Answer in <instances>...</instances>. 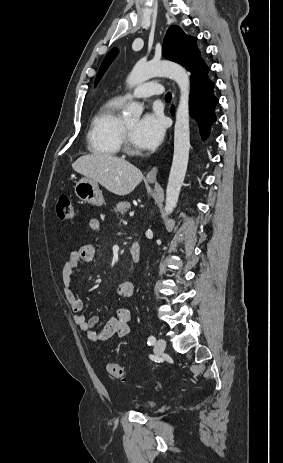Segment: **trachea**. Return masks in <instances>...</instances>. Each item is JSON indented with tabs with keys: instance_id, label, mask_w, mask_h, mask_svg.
<instances>
[{
	"instance_id": "3493384b",
	"label": "trachea",
	"mask_w": 283,
	"mask_h": 463,
	"mask_svg": "<svg viewBox=\"0 0 283 463\" xmlns=\"http://www.w3.org/2000/svg\"><path fill=\"white\" fill-rule=\"evenodd\" d=\"M165 99H166L167 101H170V100L172 99V94H171V92H167V93H166Z\"/></svg>"
}]
</instances>
